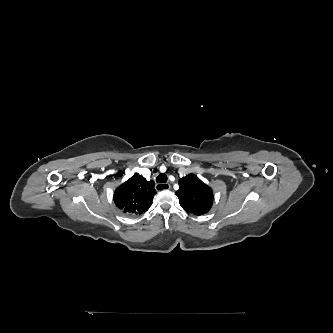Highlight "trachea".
<instances>
[{
    "label": "trachea",
    "instance_id": "3493384b",
    "mask_svg": "<svg viewBox=\"0 0 333 333\" xmlns=\"http://www.w3.org/2000/svg\"><path fill=\"white\" fill-rule=\"evenodd\" d=\"M157 183H166L167 182V176L166 174H159L156 178Z\"/></svg>",
    "mask_w": 333,
    "mask_h": 333
}]
</instances>
